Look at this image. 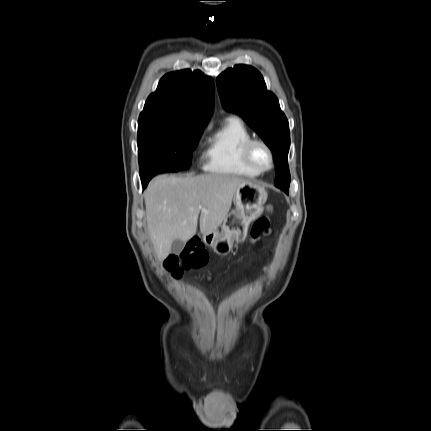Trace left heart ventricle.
I'll return each instance as SVG.
<instances>
[{"instance_id": "left-heart-ventricle-1", "label": "left heart ventricle", "mask_w": 431, "mask_h": 431, "mask_svg": "<svg viewBox=\"0 0 431 431\" xmlns=\"http://www.w3.org/2000/svg\"><path fill=\"white\" fill-rule=\"evenodd\" d=\"M253 160L262 167L269 164V155L262 146H255L252 151Z\"/></svg>"}]
</instances>
